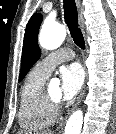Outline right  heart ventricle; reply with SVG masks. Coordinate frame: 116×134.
Masks as SVG:
<instances>
[{
  "mask_svg": "<svg viewBox=\"0 0 116 134\" xmlns=\"http://www.w3.org/2000/svg\"><path fill=\"white\" fill-rule=\"evenodd\" d=\"M48 75L36 67L27 74L20 91L18 120L20 126L29 131H41L48 128L56 119L44 98V84Z\"/></svg>",
  "mask_w": 116,
  "mask_h": 134,
  "instance_id": "1",
  "label": "right heart ventricle"
}]
</instances>
